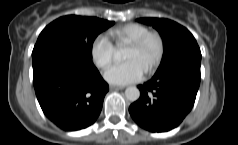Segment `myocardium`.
<instances>
[{"label":"myocardium","mask_w":238,"mask_h":145,"mask_svg":"<svg viewBox=\"0 0 238 145\" xmlns=\"http://www.w3.org/2000/svg\"><path fill=\"white\" fill-rule=\"evenodd\" d=\"M150 40L155 41L157 45V51L153 59L151 60L149 66L145 70L147 74H151L159 66L162 61L165 52V42L162 35L157 31H148L140 38L129 44V47L134 50H140L143 48Z\"/></svg>","instance_id":"f54148a6"}]
</instances>
